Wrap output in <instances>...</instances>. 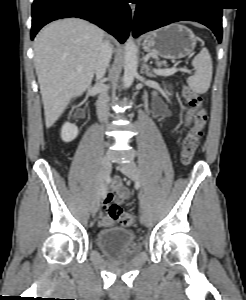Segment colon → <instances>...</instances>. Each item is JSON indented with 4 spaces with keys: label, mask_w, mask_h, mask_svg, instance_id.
Returning a JSON list of instances; mask_svg holds the SVG:
<instances>
[{
    "label": "colon",
    "mask_w": 246,
    "mask_h": 300,
    "mask_svg": "<svg viewBox=\"0 0 246 300\" xmlns=\"http://www.w3.org/2000/svg\"><path fill=\"white\" fill-rule=\"evenodd\" d=\"M183 95L188 104L197 109L195 116V123L192 129L185 137L181 150V162L183 165L191 163L193 156L199 146L200 139L203 135L204 127L207 123V112L203 107L202 98L194 90L185 86L183 88ZM103 209L105 214L113 221H118L123 226H133L136 223V215L132 213H125L123 209L117 204H111L106 199L104 201Z\"/></svg>",
    "instance_id": "5ec220e1"
}]
</instances>
